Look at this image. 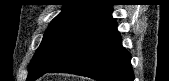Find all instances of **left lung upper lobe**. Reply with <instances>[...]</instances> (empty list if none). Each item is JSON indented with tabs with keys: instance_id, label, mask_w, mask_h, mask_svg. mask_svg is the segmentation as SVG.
Returning a JSON list of instances; mask_svg holds the SVG:
<instances>
[{
	"instance_id": "5c2ea615",
	"label": "left lung upper lobe",
	"mask_w": 169,
	"mask_h": 81,
	"mask_svg": "<svg viewBox=\"0 0 169 81\" xmlns=\"http://www.w3.org/2000/svg\"><path fill=\"white\" fill-rule=\"evenodd\" d=\"M105 0H67L47 28L30 65L27 81L46 73L84 28L111 9Z\"/></svg>"
}]
</instances>
